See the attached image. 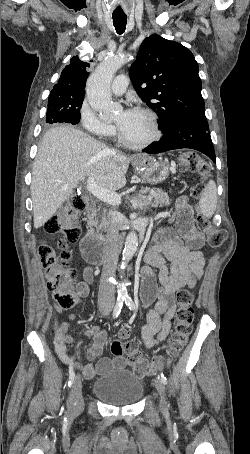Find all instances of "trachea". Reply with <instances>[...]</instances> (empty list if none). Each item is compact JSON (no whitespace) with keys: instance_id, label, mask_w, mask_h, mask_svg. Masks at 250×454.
Instances as JSON below:
<instances>
[{"instance_id":"trachea-1","label":"trachea","mask_w":250,"mask_h":454,"mask_svg":"<svg viewBox=\"0 0 250 454\" xmlns=\"http://www.w3.org/2000/svg\"><path fill=\"white\" fill-rule=\"evenodd\" d=\"M127 16H115L113 15V24L116 32L121 35L126 29Z\"/></svg>"}]
</instances>
